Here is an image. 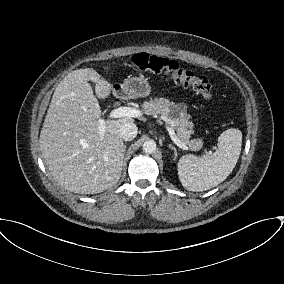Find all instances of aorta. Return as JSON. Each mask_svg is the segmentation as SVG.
I'll use <instances>...</instances> for the list:
<instances>
[{"label":"aorta","instance_id":"aorta-1","mask_svg":"<svg viewBox=\"0 0 284 284\" xmlns=\"http://www.w3.org/2000/svg\"><path fill=\"white\" fill-rule=\"evenodd\" d=\"M143 151L152 154L156 151V143L154 140H147L143 143Z\"/></svg>","mask_w":284,"mask_h":284}]
</instances>
